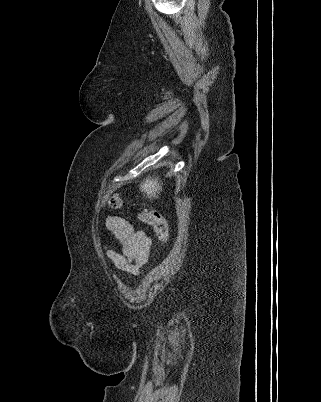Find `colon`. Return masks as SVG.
<instances>
[{"mask_svg": "<svg viewBox=\"0 0 321 402\" xmlns=\"http://www.w3.org/2000/svg\"><path fill=\"white\" fill-rule=\"evenodd\" d=\"M109 206L114 209H121L125 206V201L119 196H112L108 201ZM138 220L153 227L158 241L164 246L169 240V227L163 216L153 210H142L138 213Z\"/></svg>", "mask_w": 321, "mask_h": 402, "instance_id": "obj_1", "label": "colon"}]
</instances>
